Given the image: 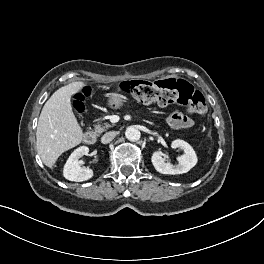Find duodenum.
I'll list each match as a JSON object with an SVG mask.
<instances>
[{
  "mask_svg": "<svg viewBox=\"0 0 264 264\" xmlns=\"http://www.w3.org/2000/svg\"><path fill=\"white\" fill-rule=\"evenodd\" d=\"M97 137L96 134L92 131H88L84 135V142L88 145H93L96 143Z\"/></svg>",
  "mask_w": 264,
  "mask_h": 264,
  "instance_id": "1",
  "label": "duodenum"
}]
</instances>
